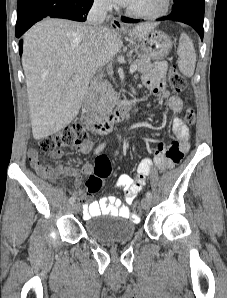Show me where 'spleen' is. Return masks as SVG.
<instances>
[{
  "label": "spleen",
  "instance_id": "1",
  "mask_svg": "<svg viewBox=\"0 0 227 298\" xmlns=\"http://www.w3.org/2000/svg\"><path fill=\"white\" fill-rule=\"evenodd\" d=\"M177 53L180 72L186 77H192L196 64V53L192 40L185 33L180 36Z\"/></svg>",
  "mask_w": 227,
  "mask_h": 298
}]
</instances>
